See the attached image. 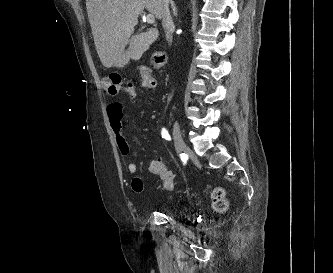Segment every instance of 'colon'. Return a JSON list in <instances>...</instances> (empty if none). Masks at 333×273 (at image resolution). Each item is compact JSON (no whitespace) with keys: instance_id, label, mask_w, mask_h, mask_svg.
I'll return each mask as SVG.
<instances>
[{"instance_id":"colon-1","label":"colon","mask_w":333,"mask_h":273,"mask_svg":"<svg viewBox=\"0 0 333 273\" xmlns=\"http://www.w3.org/2000/svg\"><path fill=\"white\" fill-rule=\"evenodd\" d=\"M151 63L155 69H161L166 63V56L162 51H155L151 55ZM103 87L110 95L120 93L134 94L132 82L124 81L120 74L112 73L102 81ZM148 171L158 180L159 187L163 190H171L174 186V176L171 170L161 160H151L148 163ZM213 206L218 211H224L227 207L224 191L217 188L212 194Z\"/></svg>"}]
</instances>
